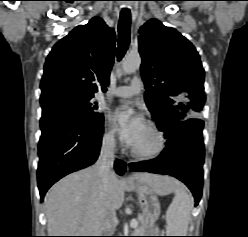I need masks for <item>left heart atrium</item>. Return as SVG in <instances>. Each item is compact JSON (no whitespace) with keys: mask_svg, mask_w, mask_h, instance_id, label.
I'll return each instance as SVG.
<instances>
[{"mask_svg":"<svg viewBox=\"0 0 248 237\" xmlns=\"http://www.w3.org/2000/svg\"><path fill=\"white\" fill-rule=\"evenodd\" d=\"M111 119L115 123L122 140L129 146H133L136 143L146 128L142 116H129V108L127 106L116 108L111 115ZM122 119H126L124 125L119 124Z\"/></svg>","mask_w":248,"mask_h":237,"instance_id":"1","label":"left heart atrium"}]
</instances>
